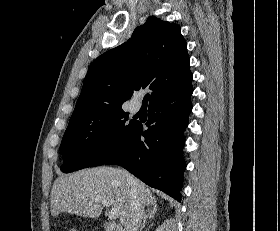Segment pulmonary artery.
Returning a JSON list of instances; mask_svg holds the SVG:
<instances>
[{
  "instance_id": "pulmonary-artery-1",
  "label": "pulmonary artery",
  "mask_w": 280,
  "mask_h": 231,
  "mask_svg": "<svg viewBox=\"0 0 280 231\" xmlns=\"http://www.w3.org/2000/svg\"><path fill=\"white\" fill-rule=\"evenodd\" d=\"M139 109H140V105H139V104H137V103H132V104H131V111H132L133 113L138 112Z\"/></svg>"
}]
</instances>
